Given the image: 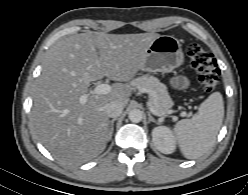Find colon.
I'll return each instance as SVG.
<instances>
[{
	"instance_id": "obj_1",
	"label": "colon",
	"mask_w": 248,
	"mask_h": 195,
	"mask_svg": "<svg viewBox=\"0 0 248 195\" xmlns=\"http://www.w3.org/2000/svg\"><path fill=\"white\" fill-rule=\"evenodd\" d=\"M187 55L191 66L199 75L204 91L211 92L218 85L220 79V70L215 57L197 44L188 46Z\"/></svg>"
}]
</instances>
